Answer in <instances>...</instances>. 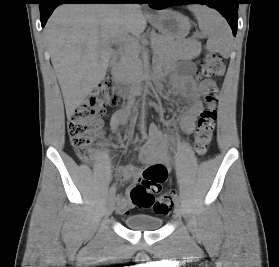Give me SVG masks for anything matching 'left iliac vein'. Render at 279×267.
<instances>
[{"instance_id":"left-iliac-vein-1","label":"left iliac vein","mask_w":279,"mask_h":267,"mask_svg":"<svg viewBox=\"0 0 279 267\" xmlns=\"http://www.w3.org/2000/svg\"><path fill=\"white\" fill-rule=\"evenodd\" d=\"M181 213L182 212L179 203H175V214L180 217Z\"/></svg>"}]
</instances>
